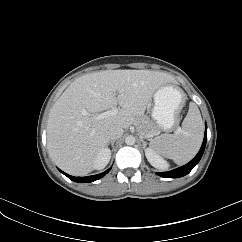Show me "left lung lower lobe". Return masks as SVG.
Returning a JSON list of instances; mask_svg holds the SVG:
<instances>
[{
    "mask_svg": "<svg viewBox=\"0 0 242 242\" xmlns=\"http://www.w3.org/2000/svg\"><path fill=\"white\" fill-rule=\"evenodd\" d=\"M206 140H207V126L205 128V136H204L202 146L198 154L189 163L172 171L159 172L157 173V175L166 177V178H178V177L187 175L200 161L206 146Z\"/></svg>",
    "mask_w": 242,
    "mask_h": 242,
    "instance_id": "obj_1",
    "label": "left lung lower lobe"
}]
</instances>
